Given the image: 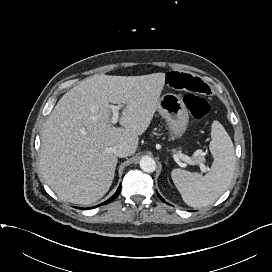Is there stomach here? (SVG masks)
Instances as JSON below:
<instances>
[{"instance_id":"1","label":"stomach","mask_w":272,"mask_h":272,"mask_svg":"<svg viewBox=\"0 0 272 272\" xmlns=\"http://www.w3.org/2000/svg\"><path fill=\"white\" fill-rule=\"evenodd\" d=\"M157 110L167 122L171 138L182 137L189 121L188 110L182 98L173 93L164 94L160 97Z\"/></svg>"}]
</instances>
